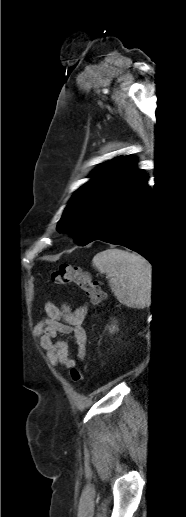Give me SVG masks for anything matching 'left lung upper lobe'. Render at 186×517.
Listing matches in <instances>:
<instances>
[{
	"label": "left lung upper lobe",
	"instance_id": "left-lung-upper-lobe-1",
	"mask_svg": "<svg viewBox=\"0 0 186 517\" xmlns=\"http://www.w3.org/2000/svg\"><path fill=\"white\" fill-rule=\"evenodd\" d=\"M135 164L130 156L102 163L75 192L57 230L68 231L79 245H87L104 215L144 175Z\"/></svg>",
	"mask_w": 186,
	"mask_h": 517
}]
</instances>
